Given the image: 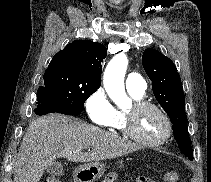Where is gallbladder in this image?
<instances>
[{"label": "gallbladder", "mask_w": 211, "mask_h": 182, "mask_svg": "<svg viewBox=\"0 0 211 182\" xmlns=\"http://www.w3.org/2000/svg\"><path fill=\"white\" fill-rule=\"evenodd\" d=\"M47 172L50 175L61 176L64 173L63 165L60 162L54 161L47 167Z\"/></svg>", "instance_id": "1"}]
</instances>
